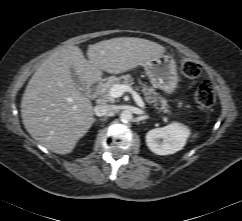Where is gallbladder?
<instances>
[{"label": "gallbladder", "mask_w": 242, "mask_h": 221, "mask_svg": "<svg viewBox=\"0 0 242 221\" xmlns=\"http://www.w3.org/2000/svg\"><path fill=\"white\" fill-rule=\"evenodd\" d=\"M70 70H71V77H72L74 83L76 84V86L79 89V91L81 92V94L84 95L86 93L85 84L80 80L79 76L76 74L73 67H71Z\"/></svg>", "instance_id": "1"}]
</instances>
